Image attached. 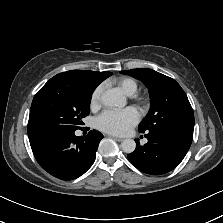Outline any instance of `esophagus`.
Returning a JSON list of instances; mask_svg holds the SVG:
<instances>
[{"label": "esophagus", "mask_w": 223, "mask_h": 223, "mask_svg": "<svg viewBox=\"0 0 223 223\" xmlns=\"http://www.w3.org/2000/svg\"><path fill=\"white\" fill-rule=\"evenodd\" d=\"M107 136L110 138H113L114 140H116L118 142H122L124 140L123 138H120V137H117V136L111 135V134H108Z\"/></svg>", "instance_id": "obj_1"}]
</instances>
